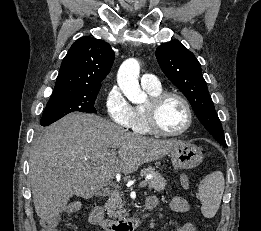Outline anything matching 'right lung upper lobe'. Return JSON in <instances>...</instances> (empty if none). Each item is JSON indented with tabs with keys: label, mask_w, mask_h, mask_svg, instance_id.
I'll use <instances>...</instances> for the list:
<instances>
[{
	"label": "right lung upper lobe",
	"mask_w": 261,
	"mask_h": 231,
	"mask_svg": "<svg viewBox=\"0 0 261 231\" xmlns=\"http://www.w3.org/2000/svg\"><path fill=\"white\" fill-rule=\"evenodd\" d=\"M114 61L110 45L93 37L79 38L64 57L54 90L100 89Z\"/></svg>",
	"instance_id": "obj_1"
}]
</instances>
